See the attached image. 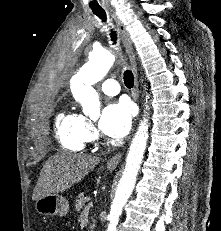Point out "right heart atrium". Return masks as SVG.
I'll return each instance as SVG.
<instances>
[{"mask_svg":"<svg viewBox=\"0 0 221 231\" xmlns=\"http://www.w3.org/2000/svg\"><path fill=\"white\" fill-rule=\"evenodd\" d=\"M85 136L87 141L94 140L96 137V131L93 124L85 119Z\"/></svg>","mask_w":221,"mask_h":231,"instance_id":"1","label":"right heart atrium"}]
</instances>
